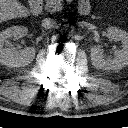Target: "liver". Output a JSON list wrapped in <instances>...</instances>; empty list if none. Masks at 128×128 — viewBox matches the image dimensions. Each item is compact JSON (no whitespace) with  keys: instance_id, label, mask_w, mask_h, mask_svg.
Here are the masks:
<instances>
[{"instance_id":"1","label":"liver","mask_w":128,"mask_h":128,"mask_svg":"<svg viewBox=\"0 0 128 128\" xmlns=\"http://www.w3.org/2000/svg\"><path fill=\"white\" fill-rule=\"evenodd\" d=\"M29 10L18 0H0V23L29 16Z\"/></svg>"}]
</instances>
